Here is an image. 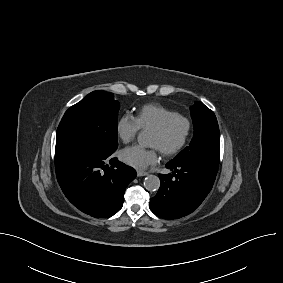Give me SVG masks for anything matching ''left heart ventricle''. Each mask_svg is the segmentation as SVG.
I'll use <instances>...</instances> for the list:
<instances>
[{
  "label": "left heart ventricle",
  "mask_w": 283,
  "mask_h": 283,
  "mask_svg": "<svg viewBox=\"0 0 283 283\" xmlns=\"http://www.w3.org/2000/svg\"><path fill=\"white\" fill-rule=\"evenodd\" d=\"M185 133V124L181 121L175 122L164 135L151 132L149 144L157 147L160 151L168 150L176 146Z\"/></svg>",
  "instance_id": "left-heart-ventricle-1"
}]
</instances>
